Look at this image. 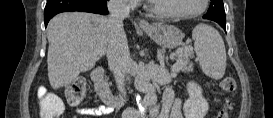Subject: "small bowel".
<instances>
[{
	"instance_id": "1",
	"label": "small bowel",
	"mask_w": 273,
	"mask_h": 118,
	"mask_svg": "<svg viewBox=\"0 0 273 118\" xmlns=\"http://www.w3.org/2000/svg\"><path fill=\"white\" fill-rule=\"evenodd\" d=\"M152 98V97H151ZM111 112L108 106H96L90 108H82L78 113L88 117H100ZM152 116L155 118H183L181 110V101L175 97L174 90L170 86H166L162 95V105H152Z\"/></svg>"
}]
</instances>
